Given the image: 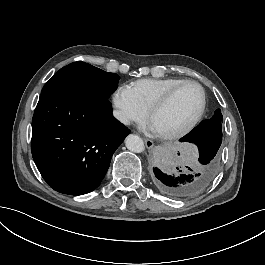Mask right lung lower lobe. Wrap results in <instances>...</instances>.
<instances>
[{
	"label": "right lung lower lobe",
	"mask_w": 265,
	"mask_h": 265,
	"mask_svg": "<svg viewBox=\"0 0 265 265\" xmlns=\"http://www.w3.org/2000/svg\"><path fill=\"white\" fill-rule=\"evenodd\" d=\"M129 132L107 98L44 93L32 120V156L50 187L83 195L100 184Z\"/></svg>",
	"instance_id": "1"
}]
</instances>
